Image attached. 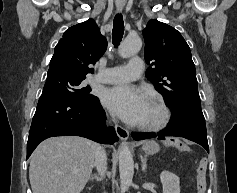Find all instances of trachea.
Instances as JSON below:
<instances>
[{
    "label": "trachea",
    "mask_w": 237,
    "mask_h": 193,
    "mask_svg": "<svg viewBox=\"0 0 237 193\" xmlns=\"http://www.w3.org/2000/svg\"><path fill=\"white\" fill-rule=\"evenodd\" d=\"M124 34V21L122 14H116L113 21L112 40L115 47H117Z\"/></svg>",
    "instance_id": "3493384b"
}]
</instances>
